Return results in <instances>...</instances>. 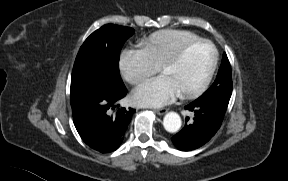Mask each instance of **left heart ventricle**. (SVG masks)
Masks as SVG:
<instances>
[{"label": "left heart ventricle", "mask_w": 288, "mask_h": 181, "mask_svg": "<svg viewBox=\"0 0 288 181\" xmlns=\"http://www.w3.org/2000/svg\"><path fill=\"white\" fill-rule=\"evenodd\" d=\"M213 61V48L208 44H199L178 64L164 69L161 75L174 85L178 93H181L198 86L209 73Z\"/></svg>", "instance_id": "b2bd125f"}]
</instances>
